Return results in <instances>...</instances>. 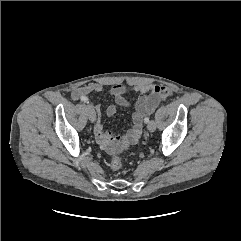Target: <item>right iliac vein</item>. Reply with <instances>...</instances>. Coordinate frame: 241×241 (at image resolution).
<instances>
[{"label":"right iliac vein","instance_id":"63e3f726","mask_svg":"<svg viewBox=\"0 0 241 241\" xmlns=\"http://www.w3.org/2000/svg\"><path fill=\"white\" fill-rule=\"evenodd\" d=\"M86 110H87V115L88 118L91 122H94L96 119V114H95V109L92 105H87L86 106Z\"/></svg>","mask_w":241,"mask_h":241}]
</instances>
